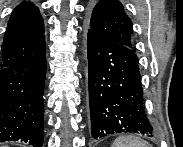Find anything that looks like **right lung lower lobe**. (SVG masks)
Wrapping results in <instances>:
<instances>
[{"mask_svg":"<svg viewBox=\"0 0 183 147\" xmlns=\"http://www.w3.org/2000/svg\"><path fill=\"white\" fill-rule=\"evenodd\" d=\"M46 50L29 60L0 68V142L43 144V90Z\"/></svg>","mask_w":183,"mask_h":147,"instance_id":"98d812e1","label":"right lung lower lobe"}]
</instances>
